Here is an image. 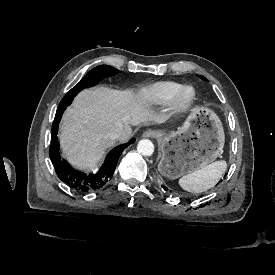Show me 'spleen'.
<instances>
[{
	"mask_svg": "<svg viewBox=\"0 0 275 275\" xmlns=\"http://www.w3.org/2000/svg\"><path fill=\"white\" fill-rule=\"evenodd\" d=\"M226 170V161H215L181 177L179 179V185L183 190L191 193L205 192L213 188L220 181Z\"/></svg>",
	"mask_w": 275,
	"mask_h": 275,
	"instance_id": "1",
	"label": "spleen"
}]
</instances>
